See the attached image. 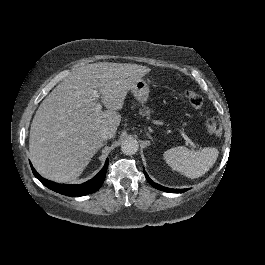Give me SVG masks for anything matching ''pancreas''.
<instances>
[{"label": "pancreas", "instance_id": "obj_1", "mask_svg": "<svg viewBox=\"0 0 265 265\" xmlns=\"http://www.w3.org/2000/svg\"><path fill=\"white\" fill-rule=\"evenodd\" d=\"M139 114L142 116H146L147 119L150 118L151 110L148 107H144L142 109H139Z\"/></svg>", "mask_w": 265, "mask_h": 265}]
</instances>
